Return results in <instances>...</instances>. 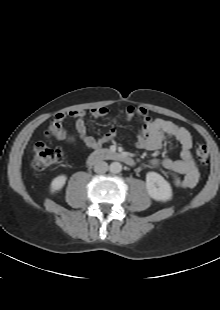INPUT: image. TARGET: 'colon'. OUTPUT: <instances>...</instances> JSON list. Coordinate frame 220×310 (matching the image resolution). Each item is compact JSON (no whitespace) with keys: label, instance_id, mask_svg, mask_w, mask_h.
<instances>
[{"label":"colon","instance_id":"obj_1","mask_svg":"<svg viewBox=\"0 0 220 310\" xmlns=\"http://www.w3.org/2000/svg\"><path fill=\"white\" fill-rule=\"evenodd\" d=\"M195 154L201 164H206L209 157L208 148L201 143L195 145ZM62 151L38 142L33 147L32 166L35 170L47 169L62 161Z\"/></svg>","mask_w":220,"mask_h":310}]
</instances>
